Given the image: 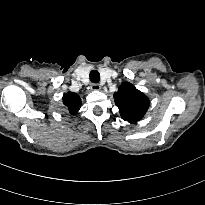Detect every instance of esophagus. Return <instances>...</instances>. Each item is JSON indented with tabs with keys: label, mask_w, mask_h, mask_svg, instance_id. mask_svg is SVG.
<instances>
[{
	"label": "esophagus",
	"mask_w": 205,
	"mask_h": 205,
	"mask_svg": "<svg viewBox=\"0 0 205 205\" xmlns=\"http://www.w3.org/2000/svg\"><path fill=\"white\" fill-rule=\"evenodd\" d=\"M100 89H101V86L99 84L94 83L91 85V90L93 91H99Z\"/></svg>",
	"instance_id": "1"
}]
</instances>
